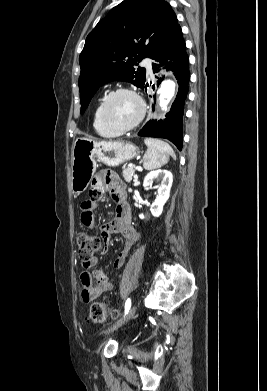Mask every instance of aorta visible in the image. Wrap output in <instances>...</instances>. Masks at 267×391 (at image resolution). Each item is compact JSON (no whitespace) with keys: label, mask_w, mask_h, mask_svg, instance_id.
Here are the masks:
<instances>
[{"label":"aorta","mask_w":267,"mask_h":391,"mask_svg":"<svg viewBox=\"0 0 267 391\" xmlns=\"http://www.w3.org/2000/svg\"><path fill=\"white\" fill-rule=\"evenodd\" d=\"M175 83L174 81L168 79L163 81L160 89L158 90L159 93V105L163 110L167 109V105L169 104L170 100L173 98L175 93Z\"/></svg>","instance_id":"1"}]
</instances>
